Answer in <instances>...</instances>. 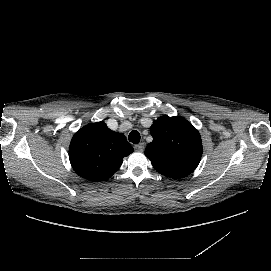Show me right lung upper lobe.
<instances>
[{
    "mask_svg": "<svg viewBox=\"0 0 271 271\" xmlns=\"http://www.w3.org/2000/svg\"><path fill=\"white\" fill-rule=\"evenodd\" d=\"M134 151L122 133L110 130L104 122L81 128L72 138L69 159L75 172L91 181L110 178L123 158Z\"/></svg>",
    "mask_w": 271,
    "mask_h": 271,
    "instance_id": "right-lung-upper-lobe-1",
    "label": "right lung upper lobe"
}]
</instances>
